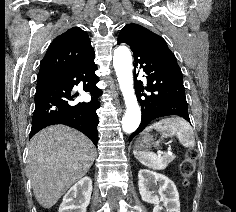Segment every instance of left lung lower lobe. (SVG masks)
Wrapping results in <instances>:
<instances>
[{"mask_svg":"<svg viewBox=\"0 0 236 212\" xmlns=\"http://www.w3.org/2000/svg\"><path fill=\"white\" fill-rule=\"evenodd\" d=\"M126 43L134 54V67L145 74L147 85L136 81L135 92L142 110L141 123L131 134V141L151 121L177 115L190 122L182 72L167 44L158 39L138 37L127 32L118 36V44ZM136 74V69L134 70ZM146 89L147 93H144Z\"/></svg>","mask_w":236,"mask_h":212,"instance_id":"obj_1","label":"left lung lower lobe"}]
</instances>
